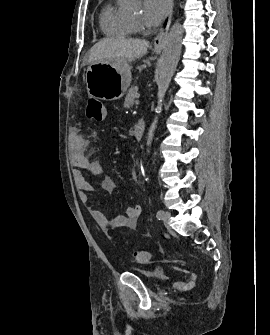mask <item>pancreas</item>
<instances>
[{"instance_id":"1","label":"pancreas","mask_w":270,"mask_h":335,"mask_svg":"<svg viewBox=\"0 0 270 335\" xmlns=\"http://www.w3.org/2000/svg\"><path fill=\"white\" fill-rule=\"evenodd\" d=\"M137 92H138L137 86H133V88H130L129 92H127L126 94L124 108H129V106H133L135 94H137Z\"/></svg>"}]
</instances>
